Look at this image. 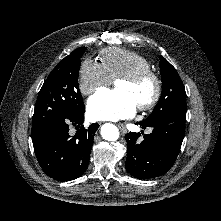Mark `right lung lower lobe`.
<instances>
[{
    "label": "right lung lower lobe",
    "instance_id": "obj_1",
    "mask_svg": "<svg viewBox=\"0 0 221 221\" xmlns=\"http://www.w3.org/2000/svg\"><path fill=\"white\" fill-rule=\"evenodd\" d=\"M84 111L59 118L32 134L35 155L43 171L58 181H70L81 176L89 164L93 139L99 125L83 127ZM76 126L75 136L69 126Z\"/></svg>",
    "mask_w": 221,
    "mask_h": 221
}]
</instances>
